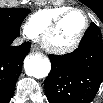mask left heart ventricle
I'll return each mask as SVG.
<instances>
[{
	"label": "left heart ventricle",
	"mask_w": 103,
	"mask_h": 103,
	"mask_svg": "<svg viewBox=\"0 0 103 103\" xmlns=\"http://www.w3.org/2000/svg\"><path fill=\"white\" fill-rule=\"evenodd\" d=\"M85 19L81 13L69 15L50 37V44L65 47L72 44L84 28Z\"/></svg>",
	"instance_id": "left-heart-ventricle-1"
}]
</instances>
